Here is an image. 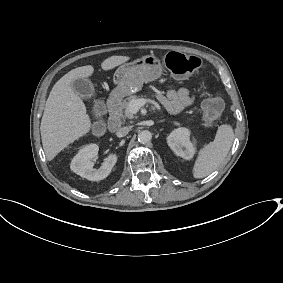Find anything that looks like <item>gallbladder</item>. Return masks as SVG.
<instances>
[{"label":"gallbladder","mask_w":283,"mask_h":283,"mask_svg":"<svg viewBox=\"0 0 283 283\" xmlns=\"http://www.w3.org/2000/svg\"><path fill=\"white\" fill-rule=\"evenodd\" d=\"M72 88L80 96H87L90 99H94L97 96V92L93 89L91 82L85 78L75 80L72 83Z\"/></svg>","instance_id":"1"}]
</instances>
